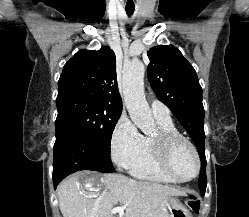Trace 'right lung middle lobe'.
I'll return each mask as SVG.
<instances>
[{"instance_id": "obj_1", "label": "right lung middle lobe", "mask_w": 249, "mask_h": 217, "mask_svg": "<svg viewBox=\"0 0 249 217\" xmlns=\"http://www.w3.org/2000/svg\"><path fill=\"white\" fill-rule=\"evenodd\" d=\"M56 104V126L68 125L110 153L112 133L122 108L83 96L57 97Z\"/></svg>"}]
</instances>
